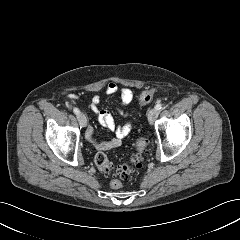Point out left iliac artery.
Wrapping results in <instances>:
<instances>
[{
  "instance_id": "1",
  "label": "left iliac artery",
  "mask_w": 240,
  "mask_h": 240,
  "mask_svg": "<svg viewBox=\"0 0 240 240\" xmlns=\"http://www.w3.org/2000/svg\"><path fill=\"white\" fill-rule=\"evenodd\" d=\"M155 108L159 111V110H161L162 109V104H157L156 106H155Z\"/></svg>"
}]
</instances>
